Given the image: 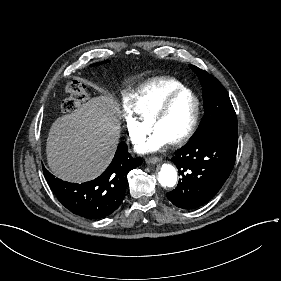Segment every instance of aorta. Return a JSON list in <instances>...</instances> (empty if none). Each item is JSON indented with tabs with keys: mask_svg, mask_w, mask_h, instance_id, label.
Returning <instances> with one entry per match:
<instances>
[{
	"mask_svg": "<svg viewBox=\"0 0 281 281\" xmlns=\"http://www.w3.org/2000/svg\"><path fill=\"white\" fill-rule=\"evenodd\" d=\"M158 181L163 187H174L177 182L176 169L170 164H163L158 173Z\"/></svg>",
	"mask_w": 281,
	"mask_h": 281,
	"instance_id": "obj_1",
	"label": "aorta"
}]
</instances>
